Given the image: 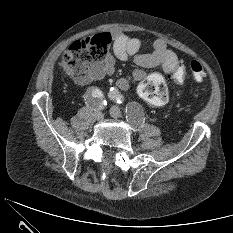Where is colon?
Wrapping results in <instances>:
<instances>
[{
	"mask_svg": "<svg viewBox=\"0 0 233 233\" xmlns=\"http://www.w3.org/2000/svg\"><path fill=\"white\" fill-rule=\"evenodd\" d=\"M110 43L111 36L107 33L77 40L64 52L61 67L76 81H84L97 76L103 71V61ZM190 74L196 82H202L207 77L202 64L197 60L190 63ZM169 76L176 83L184 82L187 77L184 64L180 61ZM138 92L146 102L154 107H162L168 101L164 78L158 73L145 77L140 83Z\"/></svg>",
	"mask_w": 233,
	"mask_h": 233,
	"instance_id": "obj_1",
	"label": "colon"
}]
</instances>
